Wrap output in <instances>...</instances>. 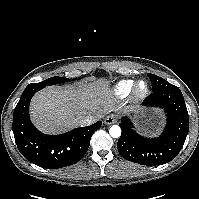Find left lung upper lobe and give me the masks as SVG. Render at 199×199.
Instances as JSON below:
<instances>
[{"label": "left lung upper lobe", "mask_w": 199, "mask_h": 199, "mask_svg": "<svg viewBox=\"0 0 199 199\" xmlns=\"http://www.w3.org/2000/svg\"><path fill=\"white\" fill-rule=\"evenodd\" d=\"M148 77L151 80L152 93H157V92H162V91H166V90H169V89L178 88V87L170 84L169 82H167L163 78L156 76L154 74L148 73Z\"/></svg>", "instance_id": "1"}]
</instances>
